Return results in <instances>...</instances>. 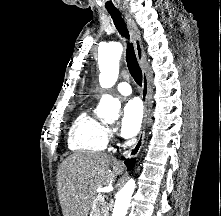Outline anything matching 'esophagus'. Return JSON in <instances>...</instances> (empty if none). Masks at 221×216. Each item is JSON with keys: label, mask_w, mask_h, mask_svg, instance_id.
I'll return each instance as SVG.
<instances>
[{"label": "esophagus", "mask_w": 221, "mask_h": 216, "mask_svg": "<svg viewBox=\"0 0 221 216\" xmlns=\"http://www.w3.org/2000/svg\"><path fill=\"white\" fill-rule=\"evenodd\" d=\"M124 14H125V18L127 21L128 29L130 31L131 39L134 45L136 57L139 61V64L143 72L142 90H141V98L144 104L143 123H142V127H141L137 141L125 153L126 158H134L139 154L142 148L143 142H144V137H145V123H146V117H147V104H148V96H149V79H148L147 69L145 67L146 57L143 51L140 32L138 30V27L135 21L131 17V15L127 13L126 11H124Z\"/></svg>", "instance_id": "34e87169"}]
</instances>
